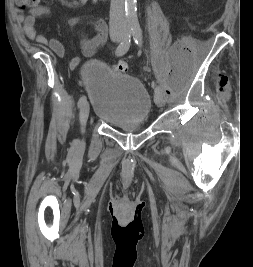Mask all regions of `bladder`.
<instances>
[{
  "label": "bladder",
  "mask_w": 253,
  "mask_h": 267,
  "mask_svg": "<svg viewBox=\"0 0 253 267\" xmlns=\"http://www.w3.org/2000/svg\"><path fill=\"white\" fill-rule=\"evenodd\" d=\"M86 88L93 102L95 116L106 123H141L150 115L152 102L144 84L100 62L89 65Z\"/></svg>",
  "instance_id": "obj_1"
}]
</instances>
